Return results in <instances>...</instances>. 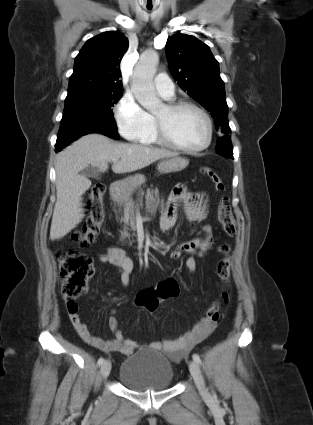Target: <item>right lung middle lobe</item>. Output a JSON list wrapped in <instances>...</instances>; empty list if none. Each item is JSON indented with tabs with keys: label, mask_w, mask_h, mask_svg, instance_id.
Wrapping results in <instances>:
<instances>
[{
	"label": "right lung middle lobe",
	"mask_w": 313,
	"mask_h": 425,
	"mask_svg": "<svg viewBox=\"0 0 313 425\" xmlns=\"http://www.w3.org/2000/svg\"><path fill=\"white\" fill-rule=\"evenodd\" d=\"M122 97V91L77 92L68 94L64 112L80 110L113 117L111 107Z\"/></svg>",
	"instance_id": "right-lung-middle-lobe-1"
}]
</instances>
